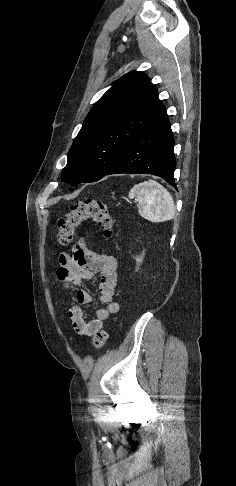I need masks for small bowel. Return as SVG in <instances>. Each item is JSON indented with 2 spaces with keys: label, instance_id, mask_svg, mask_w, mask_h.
Wrapping results in <instances>:
<instances>
[{
  "label": "small bowel",
  "instance_id": "obj_1",
  "mask_svg": "<svg viewBox=\"0 0 236 486\" xmlns=\"http://www.w3.org/2000/svg\"><path fill=\"white\" fill-rule=\"evenodd\" d=\"M95 273L100 274L98 298L104 307L97 309L94 318L86 321L81 307L91 303L93 297L80 287L84 281L92 279ZM57 277L66 289L78 287L71 298L68 311L73 329L77 334L94 335L101 330L105 320L118 312L119 304L114 299L117 262L113 256L105 252L98 254L89 250L83 243H79L73 248L72 254H60Z\"/></svg>",
  "mask_w": 236,
  "mask_h": 486
}]
</instances>
